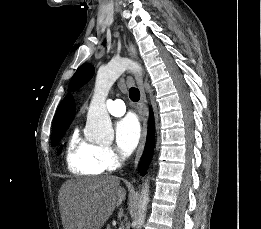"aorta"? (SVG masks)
Masks as SVG:
<instances>
[{
  "mask_svg": "<svg viewBox=\"0 0 261 229\" xmlns=\"http://www.w3.org/2000/svg\"><path fill=\"white\" fill-rule=\"evenodd\" d=\"M124 70H132V72H141L142 66L138 62H132L129 58H112L105 66L98 68L95 88L91 102L87 112V135H91V139L99 141L103 137H112L113 129L111 119L106 108V96L115 80L119 78ZM149 179L143 183L140 201L138 203V219L134 221L135 229H142L149 203Z\"/></svg>",
  "mask_w": 261,
  "mask_h": 229,
  "instance_id": "obj_1",
  "label": "aorta"
}]
</instances>
